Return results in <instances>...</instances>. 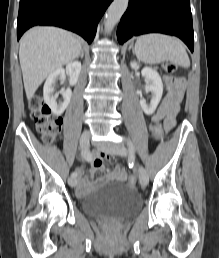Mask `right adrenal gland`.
<instances>
[{
    "mask_svg": "<svg viewBox=\"0 0 219 258\" xmlns=\"http://www.w3.org/2000/svg\"><path fill=\"white\" fill-rule=\"evenodd\" d=\"M79 57H81V58H83V57H84V51H83V49H81V52H80Z\"/></svg>",
    "mask_w": 219,
    "mask_h": 258,
    "instance_id": "2a0ac1e0",
    "label": "right adrenal gland"
}]
</instances>
